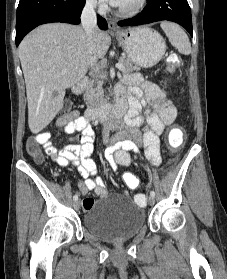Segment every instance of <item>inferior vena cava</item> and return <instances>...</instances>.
Wrapping results in <instances>:
<instances>
[{"label": "inferior vena cava", "mask_w": 227, "mask_h": 279, "mask_svg": "<svg viewBox=\"0 0 227 279\" xmlns=\"http://www.w3.org/2000/svg\"><path fill=\"white\" fill-rule=\"evenodd\" d=\"M82 26L86 35L87 48L90 55L89 65L91 69L97 65L96 46L94 32L97 29V18L95 14V3L87 0L81 15Z\"/></svg>", "instance_id": "602c4592"}]
</instances>
